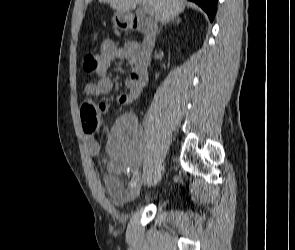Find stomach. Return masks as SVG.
Instances as JSON below:
<instances>
[{
	"label": "stomach",
	"instance_id": "0dacf381",
	"mask_svg": "<svg viewBox=\"0 0 295 250\" xmlns=\"http://www.w3.org/2000/svg\"><path fill=\"white\" fill-rule=\"evenodd\" d=\"M113 21H114V23H115V25H116L117 27H121V26L124 25V23H123V21H122V17H121V15H120L119 13H117V14L114 16Z\"/></svg>",
	"mask_w": 295,
	"mask_h": 250
}]
</instances>
